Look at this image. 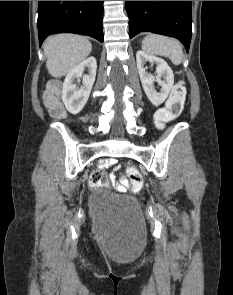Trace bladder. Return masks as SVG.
Wrapping results in <instances>:
<instances>
[{"label":"bladder","mask_w":233,"mask_h":295,"mask_svg":"<svg viewBox=\"0 0 233 295\" xmlns=\"http://www.w3.org/2000/svg\"><path fill=\"white\" fill-rule=\"evenodd\" d=\"M90 210L97 221L108 222L133 219L139 213L138 202L127 195L109 192L96 187L89 197Z\"/></svg>","instance_id":"31cf9c89"}]
</instances>
